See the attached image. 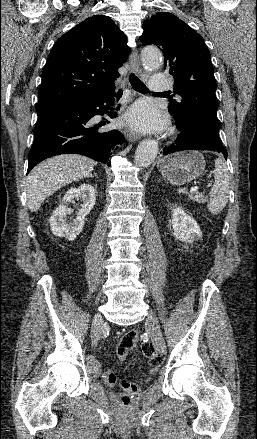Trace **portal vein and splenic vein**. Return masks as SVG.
I'll return each instance as SVG.
<instances>
[{
  "label": "portal vein and splenic vein",
  "mask_w": 257,
  "mask_h": 439,
  "mask_svg": "<svg viewBox=\"0 0 257 439\" xmlns=\"http://www.w3.org/2000/svg\"><path fill=\"white\" fill-rule=\"evenodd\" d=\"M197 191H198V187L197 186H194V187L190 188V192L191 193H196Z\"/></svg>",
  "instance_id": "obj_1"
}]
</instances>
